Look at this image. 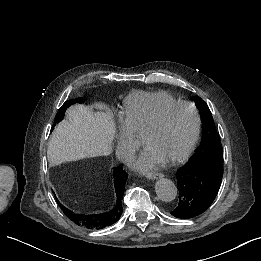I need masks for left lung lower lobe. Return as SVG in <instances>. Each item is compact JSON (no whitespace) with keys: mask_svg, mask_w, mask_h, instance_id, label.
I'll use <instances>...</instances> for the list:
<instances>
[{"mask_svg":"<svg viewBox=\"0 0 261 261\" xmlns=\"http://www.w3.org/2000/svg\"><path fill=\"white\" fill-rule=\"evenodd\" d=\"M223 176V160L214 157L190 159L176 174L178 205L171 215L180 219L204 213L218 194Z\"/></svg>","mask_w":261,"mask_h":261,"instance_id":"left-lung-lower-lobe-1","label":"left lung lower lobe"}]
</instances>
